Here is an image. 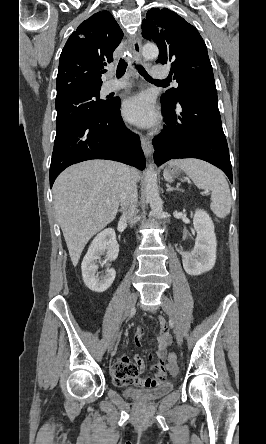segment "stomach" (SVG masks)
I'll use <instances>...</instances> for the list:
<instances>
[{"instance_id":"obj_1","label":"stomach","mask_w":266,"mask_h":444,"mask_svg":"<svg viewBox=\"0 0 266 444\" xmlns=\"http://www.w3.org/2000/svg\"><path fill=\"white\" fill-rule=\"evenodd\" d=\"M180 173H181V169L179 167L172 166V167L167 168L164 171L163 175L167 179H172V178L177 177Z\"/></svg>"}]
</instances>
